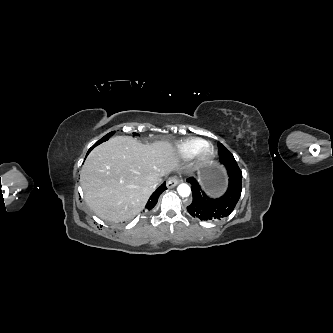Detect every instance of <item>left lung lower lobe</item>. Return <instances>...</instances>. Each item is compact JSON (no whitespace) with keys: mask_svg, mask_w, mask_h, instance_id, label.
<instances>
[{"mask_svg":"<svg viewBox=\"0 0 333 333\" xmlns=\"http://www.w3.org/2000/svg\"><path fill=\"white\" fill-rule=\"evenodd\" d=\"M229 175V186L226 193L217 199L209 198L200 188L195 178H188L193 195L188 212L203 221H217L227 217L235 208L242 191V172L236 161L222 162Z\"/></svg>","mask_w":333,"mask_h":333,"instance_id":"obj_1","label":"left lung lower lobe"}]
</instances>
